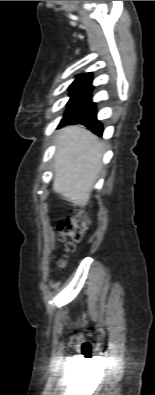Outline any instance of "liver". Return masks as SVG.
<instances>
[{
    "label": "liver",
    "mask_w": 155,
    "mask_h": 395,
    "mask_svg": "<svg viewBox=\"0 0 155 395\" xmlns=\"http://www.w3.org/2000/svg\"><path fill=\"white\" fill-rule=\"evenodd\" d=\"M56 145L53 190L85 206L102 170L104 144L89 130L67 126L58 132Z\"/></svg>",
    "instance_id": "liver-1"
}]
</instances>
